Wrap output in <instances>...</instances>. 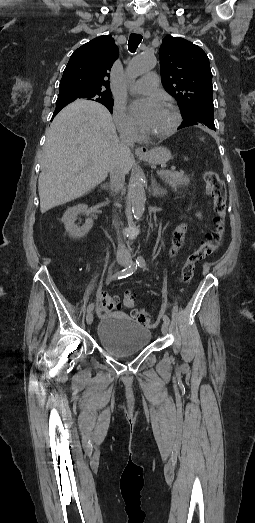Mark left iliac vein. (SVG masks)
Returning <instances> with one entry per match:
<instances>
[{
  "label": "left iliac vein",
  "instance_id": "4c4485c4",
  "mask_svg": "<svg viewBox=\"0 0 255 523\" xmlns=\"http://www.w3.org/2000/svg\"><path fill=\"white\" fill-rule=\"evenodd\" d=\"M161 331H162V333L164 335L167 334V332H168V324L167 323L163 322V324L161 326Z\"/></svg>",
  "mask_w": 255,
  "mask_h": 523
}]
</instances>
